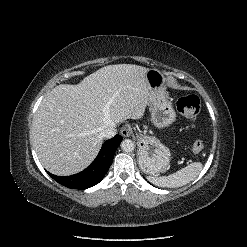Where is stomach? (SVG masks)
<instances>
[{
	"label": "stomach",
	"instance_id": "1",
	"mask_svg": "<svg viewBox=\"0 0 247 247\" xmlns=\"http://www.w3.org/2000/svg\"><path fill=\"white\" fill-rule=\"evenodd\" d=\"M146 79L150 86L149 102L153 125L158 129L170 126L176 118V112L166 92V78L157 69H148ZM138 162L140 168L149 175H158L166 171L170 163L169 149L156 138L143 136L138 141Z\"/></svg>",
	"mask_w": 247,
	"mask_h": 247
}]
</instances>
